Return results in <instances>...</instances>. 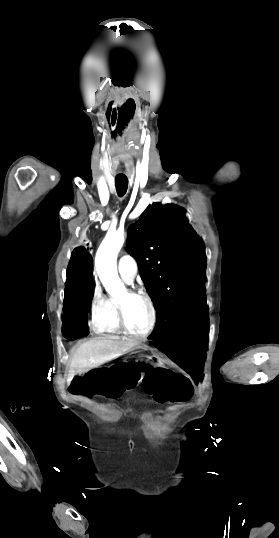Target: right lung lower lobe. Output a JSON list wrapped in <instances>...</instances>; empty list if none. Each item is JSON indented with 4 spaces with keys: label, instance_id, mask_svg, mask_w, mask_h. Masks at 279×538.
<instances>
[{
    "label": "right lung lower lobe",
    "instance_id": "right-lung-lower-lobe-1",
    "mask_svg": "<svg viewBox=\"0 0 279 538\" xmlns=\"http://www.w3.org/2000/svg\"><path fill=\"white\" fill-rule=\"evenodd\" d=\"M93 259L86 249L79 247L72 253L67 268L62 333L76 339L88 334L86 309L93 298Z\"/></svg>",
    "mask_w": 279,
    "mask_h": 538
}]
</instances>
